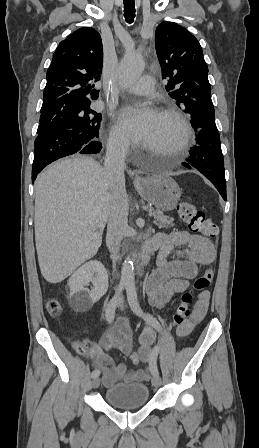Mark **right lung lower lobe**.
Masks as SVG:
<instances>
[{
  "mask_svg": "<svg viewBox=\"0 0 259 448\" xmlns=\"http://www.w3.org/2000/svg\"><path fill=\"white\" fill-rule=\"evenodd\" d=\"M32 183L38 173L51 162L74 153L96 154L102 149L101 142L90 140L89 135L71 129H56L38 135L34 143Z\"/></svg>",
  "mask_w": 259,
  "mask_h": 448,
  "instance_id": "obj_1",
  "label": "right lung lower lobe"
}]
</instances>
